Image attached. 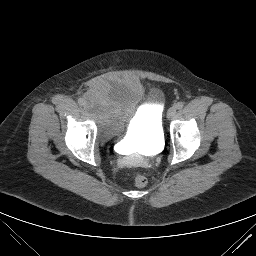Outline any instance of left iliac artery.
I'll return each mask as SVG.
<instances>
[{
	"label": "left iliac artery",
	"instance_id": "obj_1",
	"mask_svg": "<svg viewBox=\"0 0 256 256\" xmlns=\"http://www.w3.org/2000/svg\"><path fill=\"white\" fill-rule=\"evenodd\" d=\"M183 106H184L183 102H178V103L175 105V107H176L177 109H181V108H183Z\"/></svg>",
	"mask_w": 256,
	"mask_h": 256
}]
</instances>
